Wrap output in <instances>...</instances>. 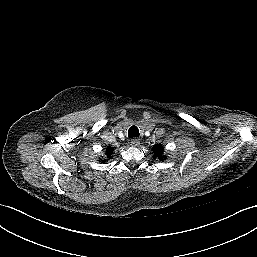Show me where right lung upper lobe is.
<instances>
[{"mask_svg": "<svg viewBox=\"0 0 257 257\" xmlns=\"http://www.w3.org/2000/svg\"><path fill=\"white\" fill-rule=\"evenodd\" d=\"M113 148L112 147H108L107 148V150H106V156L108 157V158H110L111 157V154L113 153Z\"/></svg>", "mask_w": 257, "mask_h": 257, "instance_id": "cb5924a9", "label": "right lung upper lobe"}]
</instances>
